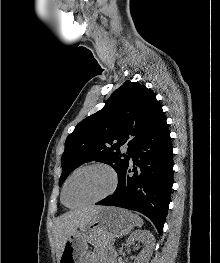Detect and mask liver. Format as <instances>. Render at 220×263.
<instances>
[{
  "label": "liver",
  "mask_w": 220,
  "mask_h": 263,
  "mask_svg": "<svg viewBox=\"0 0 220 263\" xmlns=\"http://www.w3.org/2000/svg\"><path fill=\"white\" fill-rule=\"evenodd\" d=\"M101 206H87L72 210L61 215L55 222L53 234L57 248V257L60 258L65 242L79 227L87 223Z\"/></svg>",
  "instance_id": "obj_1"
}]
</instances>
